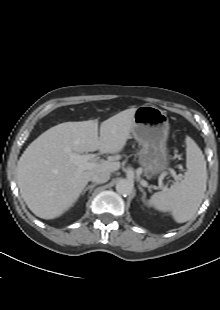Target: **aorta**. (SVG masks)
I'll list each match as a JSON object with an SVG mask.
<instances>
[{"label": "aorta", "mask_w": 220, "mask_h": 310, "mask_svg": "<svg viewBox=\"0 0 220 310\" xmlns=\"http://www.w3.org/2000/svg\"><path fill=\"white\" fill-rule=\"evenodd\" d=\"M133 184L127 179H121L116 184V191L123 196H128L132 193Z\"/></svg>", "instance_id": "obj_1"}]
</instances>
